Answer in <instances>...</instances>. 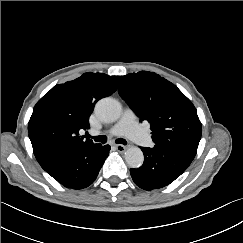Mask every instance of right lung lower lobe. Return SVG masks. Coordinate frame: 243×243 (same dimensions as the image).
Wrapping results in <instances>:
<instances>
[{"label": "right lung lower lobe", "instance_id": "obj_1", "mask_svg": "<svg viewBox=\"0 0 243 243\" xmlns=\"http://www.w3.org/2000/svg\"><path fill=\"white\" fill-rule=\"evenodd\" d=\"M109 150V145L94 144L84 148L52 150L36 159L63 186L82 189L94 182Z\"/></svg>", "mask_w": 243, "mask_h": 243}]
</instances>
